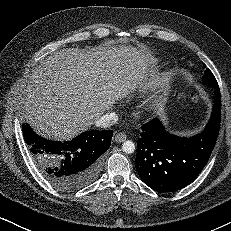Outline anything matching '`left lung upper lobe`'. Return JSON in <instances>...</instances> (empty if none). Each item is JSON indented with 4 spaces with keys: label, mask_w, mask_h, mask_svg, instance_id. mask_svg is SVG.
I'll return each instance as SVG.
<instances>
[{
    "label": "left lung upper lobe",
    "mask_w": 231,
    "mask_h": 231,
    "mask_svg": "<svg viewBox=\"0 0 231 231\" xmlns=\"http://www.w3.org/2000/svg\"><path fill=\"white\" fill-rule=\"evenodd\" d=\"M203 82L210 87H213L215 89L218 88L217 81H216L214 75L212 74V72L210 71V69H208V68L205 70V73L203 76Z\"/></svg>",
    "instance_id": "5c2ea615"
}]
</instances>
